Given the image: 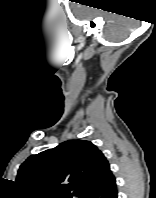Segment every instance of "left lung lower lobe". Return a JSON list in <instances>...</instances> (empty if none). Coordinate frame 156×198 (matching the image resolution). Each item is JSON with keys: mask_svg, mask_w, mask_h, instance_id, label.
<instances>
[{"mask_svg": "<svg viewBox=\"0 0 156 198\" xmlns=\"http://www.w3.org/2000/svg\"><path fill=\"white\" fill-rule=\"evenodd\" d=\"M116 180L112 172L95 189L86 193L82 198H117Z\"/></svg>", "mask_w": 156, "mask_h": 198, "instance_id": "obj_1", "label": "left lung lower lobe"}]
</instances>
